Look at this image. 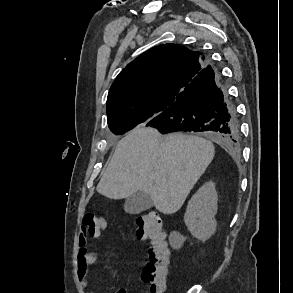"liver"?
I'll list each match as a JSON object with an SVG mask.
<instances>
[{"label":"liver","mask_w":293,"mask_h":293,"mask_svg":"<svg viewBox=\"0 0 293 293\" xmlns=\"http://www.w3.org/2000/svg\"><path fill=\"white\" fill-rule=\"evenodd\" d=\"M213 144L201 137L138 126L119 141L97 191L110 199L147 193L155 208L173 214L214 158Z\"/></svg>","instance_id":"obj_1"}]
</instances>
